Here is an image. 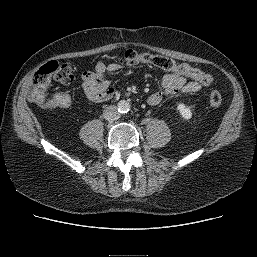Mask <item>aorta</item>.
Wrapping results in <instances>:
<instances>
[{
	"label": "aorta",
	"instance_id": "aorta-1",
	"mask_svg": "<svg viewBox=\"0 0 257 257\" xmlns=\"http://www.w3.org/2000/svg\"><path fill=\"white\" fill-rule=\"evenodd\" d=\"M117 109L120 113H127L130 110V104L125 100H121L117 104Z\"/></svg>",
	"mask_w": 257,
	"mask_h": 257
}]
</instances>
